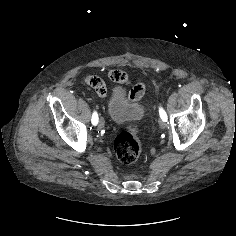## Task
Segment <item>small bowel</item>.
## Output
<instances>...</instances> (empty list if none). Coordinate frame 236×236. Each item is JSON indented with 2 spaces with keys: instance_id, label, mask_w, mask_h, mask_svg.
I'll use <instances>...</instances> for the list:
<instances>
[{
  "instance_id": "c3829d8e",
  "label": "small bowel",
  "mask_w": 236,
  "mask_h": 236,
  "mask_svg": "<svg viewBox=\"0 0 236 236\" xmlns=\"http://www.w3.org/2000/svg\"><path fill=\"white\" fill-rule=\"evenodd\" d=\"M107 75L111 80L118 82L120 84H128L129 83L128 75L123 71L110 70V71H108ZM85 81L90 87L94 88L100 96H106L107 90H106V87L101 79H99L96 76H89L86 78ZM134 89H136V98H139L140 96H142V94H143L142 86H136ZM122 103H123V105L128 106V105H130L131 100H130V98L125 97V98H123Z\"/></svg>"
}]
</instances>
